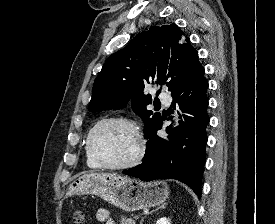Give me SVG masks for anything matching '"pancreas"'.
I'll list each match as a JSON object with an SVG mask.
<instances>
[{
    "mask_svg": "<svg viewBox=\"0 0 275 224\" xmlns=\"http://www.w3.org/2000/svg\"><path fill=\"white\" fill-rule=\"evenodd\" d=\"M136 219H137V216L132 217V218L121 217L119 222H120V224H135Z\"/></svg>",
    "mask_w": 275,
    "mask_h": 224,
    "instance_id": "obj_1",
    "label": "pancreas"
}]
</instances>
